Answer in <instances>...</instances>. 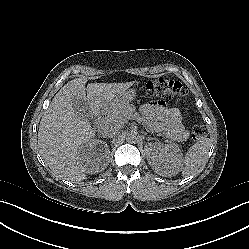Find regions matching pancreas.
I'll list each match as a JSON object with an SVG mask.
<instances>
[{"label":"pancreas","instance_id":"cf45deb5","mask_svg":"<svg viewBox=\"0 0 249 249\" xmlns=\"http://www.w3.org/2000/svg\"><path fill=\"white\" fill-rule=\"evenodd\" d=\"M134 112V109L130 106H125L121 111H119V116L114 118V121L119 120L120 118L127 117ZM144 125L151 130L150 122L143 120Z\"/></svg>","mask_w":249,"mask_h":249}]
</instances>
